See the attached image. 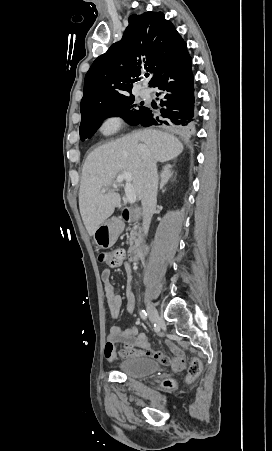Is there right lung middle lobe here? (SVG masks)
Masks as SVG:
<instances>
[{"mask_svg": "<svg viewBox=\"0 0 272 451\" xmlns=\"http://www.w3.org/2000/svg\"><path fill=\"white\" fill-rule=\"evenodd\" d=\"M141 103H135L133 96L113 100L81 113L82 120L80 124V138L84 141L90 138L100 126L101 122L108 118L119 116L131 125H136L147 111Z\"/></svg>", "mask_w": 272, "mask_h": 451, "instance_id": "obj_1", "label": "right lung middle lobe"}]
</instances>
